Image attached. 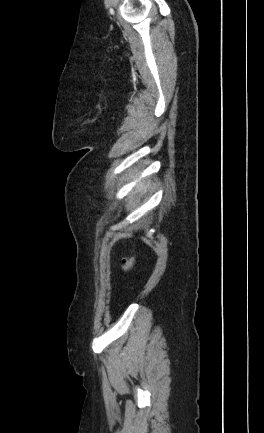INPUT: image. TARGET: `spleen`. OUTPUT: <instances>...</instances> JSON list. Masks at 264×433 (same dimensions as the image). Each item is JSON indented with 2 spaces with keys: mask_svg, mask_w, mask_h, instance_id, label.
<instances>
[{
  "mask_svg": "<svg viewBox=\"0 0 264 433\" xmlns=\"http://www.w3.org/2000/svg\"><path fill=\"white\" fill-rule=\"evenodd\" d=\"M147 186H148V185H147ZM147 186L145 185L144 182H139V183L136 185V192H143V191H146Z\"/></svg>",
  "mask_w": 264,
  "mask_h": 433,
  "instance_id": "spleen-1",
  "label": "spleen"
}]
</instances>
